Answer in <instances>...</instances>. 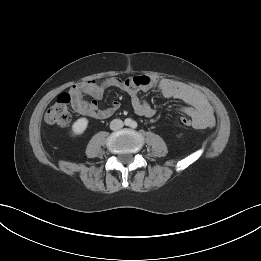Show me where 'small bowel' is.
I'll return each instance as SVG.
<instances>
[{
  "label": "small bowel",
  "mask_w": 261,
  "mask_h": 261,
  "mask_svg": "<svg viewBox=\"0 0 261 261\" xmlns=\"http://www.w3.org/2000/svg\"><path fill=\"white\" fill-rule=\"evenodd\" d=\"M108 88H118L128 93L132 108L139 116L150 118L156 111L146 100L138 96V92L156 89L166 98L178 99L189 105L181 112L192 120V126L195 129H207L215 125L213 109L201 92L172 79H158L146 75H136L125 79L110 77L99 82L78 83L69 90L73 109L80 115L94 119H106L112 116L120 107L118 101L112 102L111 106L105 109H99L97 103ZM85 96H90L94 100L87 101Z\"/></svg>",
  "instance_id": "obj_1"
}]
</instances>
